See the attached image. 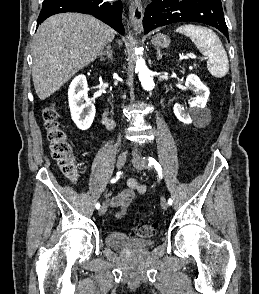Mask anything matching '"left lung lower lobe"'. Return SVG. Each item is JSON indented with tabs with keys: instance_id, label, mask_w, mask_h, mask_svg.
Listing matches in <instances>:
<instances>
[{
	"instance_id": "1",
	"label": "left lung lower lobe",
	"mask_w": 259,
	"mask_h": 294,
	"mask_svg": "<svg viewBox=\"0 0 259 294\" xmlns=\"http://www.w3.org/2000/svg\"><path fill=\"white\" fill-rule=\"evenodd\" d=\"M181 21L213 26L228 38L221 0H151L143 18L144 32Z\"/></svg>"
}]
</instances>
